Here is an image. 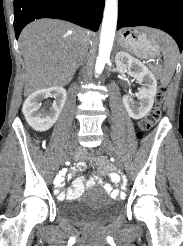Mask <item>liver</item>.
<instances>
[{
	"mask_svg": "<svg viewBox=\"0 0 183 246\" xmlns=\"http://www.w3.org/2000/svg\"><path fill=\"white\" fill-rule=\"evenodd\" d=\"M90 32L71 23L40 19L27 25L19 42L25 62L24 95L70 82Z\"/></svg>",
	"mask_w": 183,
	"mask_h": 246,
	"instance_id": "6515ba94",
	"label": "liver"
}]
</instances>
